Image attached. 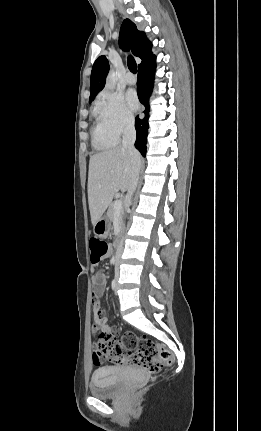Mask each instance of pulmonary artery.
<instances>
[{"instance_id":"pulmonary-artery-1","label":"pulmonary artery","mask_w":261,"mask_h":431,"mask_svg":"<svg viewBox=\"0 0 261 431\" xmlns=\"http://www.w3.org/2000/svg\"><path fill=\"white\" fill-rule=\"evenodd\" d=\"M124 81L128 85H133L136 82V78L132 73H127L125 78H124Z\"/></svg>"}]
</instances>
